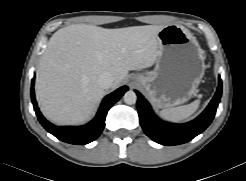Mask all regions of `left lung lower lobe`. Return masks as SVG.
I'll use <instances>...</instances> for the list:
<instances>
[{
  "mask_svg": "<svg viewBox=\"0 0 246 181\" xmlns=\"http://www.w3.org/2000/svg\"><path fill=\"white\" fill-rule=\"evenodd\" d=\"M138 95L137 107L140 124L146 133L155 142L172 146L186 143L202 133L212 122L222 93V82L219 76V84L213 99L207 108L194 120L185 124H173L158 119L149 103L136 91Z\"/></svg>",
  "mask_w": 246,
  "mask_h": 181,
  "instance_id": "obj_1",
  "label": "left lung lower lobe"
}]
</instances>
